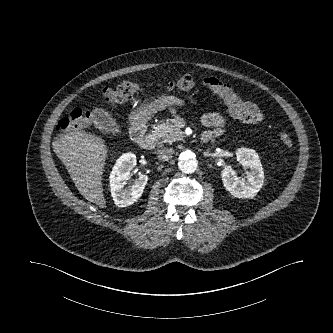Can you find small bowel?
Here are the masks:
<instances>
[{
  "label": "small bowel",
  "mask_w": 333,
  "mask_h": 333,
  "mask_svg": "<svg viewBox=\"0 0 333 333\" xmlns=\"http://www.w3.org/2000/svg\"><path fill=\"white\" fill-rule=\"evenodd\" d=\"M204 85L207 89L224 99L231 115L243 122L257 123L262 120L257 104L251 100H245L237 96L233 90L213 77L205 78ZM203 123L211 127L210 135H219L223 129V118L216 113H207L202 117Z\"/></svg>",
  "instance_id": "c3829d8e"
}]
</instances>
